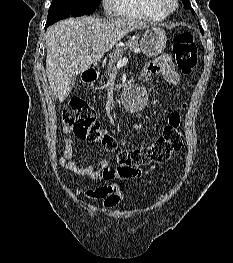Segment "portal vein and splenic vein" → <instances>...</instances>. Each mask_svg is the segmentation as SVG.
<instances>
[{
  "instance_id": "1",
  "label": "portal vein and splenic vein",
  "mask_w": 233,
  "mask_h": 263,
  "mask_svg": "<svg viewBox=\"0 0 233 263\" xmlns=\"http://www.w3.org/2000/svg\"><path fill=\"white\" fill-rule=\"evenodd\" d=\"M95 45H96V42H93V43H92V46H95ZM133 51H134L135 53L140 52L139 48H133ZM124 60H125V59H121L120 61H118L117 67H119V66L124 62Z\"/></svg>"
}]
</instances>
